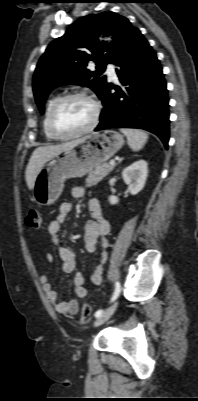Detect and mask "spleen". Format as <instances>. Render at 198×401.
I'll return each mask as SVG.
<instances>
[{
  "instance_id": "1",
  "label": "spleen",
  "mask_w": 198,
  "mask_h": 401,
  "mask_svg": "<svg viewBox=\"0 0 198 401\" xmlns=\"http://www.w3.org/2000/svg\"><path fill=\"white\" fill-rule=\"evenodd\" d=\"M120 131L127 137V143L133 151L141 150L148 140V134L142 130L121 128Z\"/></svg>"
}]
</instances>
